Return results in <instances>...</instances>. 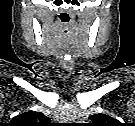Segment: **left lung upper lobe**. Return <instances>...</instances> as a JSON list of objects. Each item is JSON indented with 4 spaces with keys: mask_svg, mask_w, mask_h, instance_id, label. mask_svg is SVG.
Here are the masks:
<instances>
[{
    "mask_svg": "<svg viewBox=\"0 0 135 126\" xmlns=\"http://www.w3.org/2000/svg\"><path fill=\"white\" fill-rule=\"evenodd\" d=\"M107 117L108 116H106L104 114H94V115L90 116V119L92 121H94V123L102 124V122L106 121V119L108 120ZM105 123H107V122H105Z\"/></svg>",
    "mask_w": 135,
    "mask_h": 126,
    "instance_id": "obj_1",
    "label": "left lung upper lobe"
}]
</instances>
